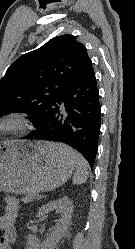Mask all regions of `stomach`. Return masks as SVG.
Wrapping results in <instances>:
<instances>
[{
    "instance_id": "0dacf381",
    "label": "stomach",
    "mask_w": 135,
    "mask_h": 249,
    "mask_svg": "<svg viewBox=\"0 0 135 249\" xmlns=\"http://www.w3.org/2000/svg\"><path fill=\"white\" fill-rule=\"evenodd\" d=\"M57 143L10 141L0 145V191L34 195L53 190L71 176L74 162Z\"/></svg>"
}]
</instances>
